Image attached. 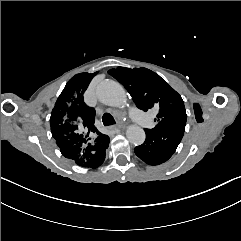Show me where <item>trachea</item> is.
Here are the masks:
<instances>
[{
	"mask_svg": "<svg viewBox=\"0 0 241 241\" xmlns=\"http://www.w3.org/2000/svg\"><path fill=\"white\" fill-rule=\"evenodd\" d=\"M102 122H103L104 126H110V125H114L116 123V121L113 118V116L110 115L109 113H105L102 116Z\"/></svg>",
	"mask_w": 241,
	"mask_h": 241,
	"instance_id": "3493384b",
	"label": "trachea"
}]
</instances>
